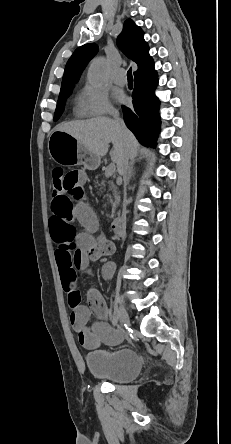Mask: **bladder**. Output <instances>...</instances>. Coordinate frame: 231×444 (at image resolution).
<instances>
[{
	"instance_id": "31cf9c89",
	"label": "bladder",
	"mask_w": 231,
	"mask_h": 444,
	"mask_svg": "<svg viewBox=\"0 0 231 444\" xmlns=\"http://www.w3.org/2000/svg\"><path fill=\"white\" fill-rule=\"evenodd\" d=\"M86 366L96 378L123 384L133 381L140 374L142 361L135 351L122 348L89 353Z\"/></svg>"
}]
</instances>
